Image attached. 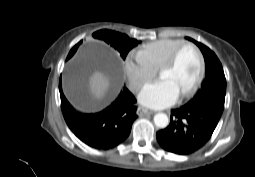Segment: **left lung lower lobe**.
Returning a JSON list of instances; mask_svg holds the SVG:
<instances>
[{"instance_id":"obj_1","label":"left lung lower lobe","mask_w":255,"mask_h":177,"mask_svg":"<svg viewBox=\"0 0 255 177\" xmlns=\"http://www.w3.org/2000/svg\"><path fill=\"white\" fill-rule=\"evenodd\" d=\"M222 112L212 104L173 109L169 126L156 133L157 141L168 152L191 154L211 138Z\"/></svg>"}]
</instances>
